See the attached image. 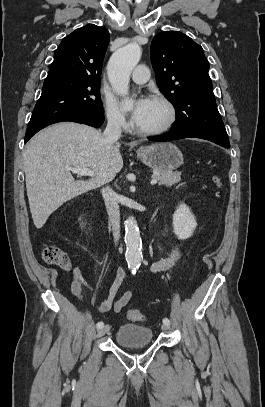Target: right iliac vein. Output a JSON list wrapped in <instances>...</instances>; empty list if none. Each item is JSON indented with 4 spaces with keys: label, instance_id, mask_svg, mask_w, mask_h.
Instances as JSON below:
<instances>
[{
    "label": "right iliac vein",
    "instance_id": "63e3f726",
    "mask_svg": "<svg viewBox=\"0 0 265 407\" xmlns=\"http://www.w3.org/2000/svg\"><path fill=\"white\" fill-rule=\"evenodd\" d=\"M109 329H110L109 325L103 326L102 328H100V329L98 330V332H97V337L103 336L104 334H106V333L109 331Z\"/></svg>",
    "mask_w": 265,
    "mask_h": 407
}]
</instances>
